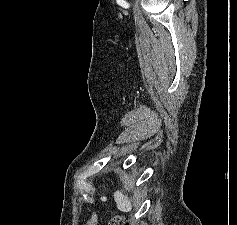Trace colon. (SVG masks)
<instances>
[{
	"mask_svg": "<svg viewBox=\"0 0 237 225\" xmlns=\"http://www.w3.org/2000/svg\"><path fill=\"white\" fill-rule=\"evenodd\" d=\"M97 215L93 214L91 219L85 225H96L97 224ZM109 225H130L125 219L120 216H116L111 219Z\"/></svg>",
	"mask_w": 237,
	"mask_h": 225,
	"instance_id": "obj_1",
	"label": "colon"
}]
</instances>
